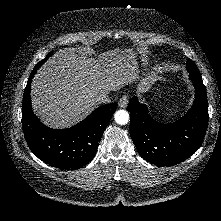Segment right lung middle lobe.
Returning <instances> with one entry per match:
<instances>
[{
    "label": "right lung middle lobe",
    "instance_id": "1",
    "mask_svg": "<svg viewBox=\"0 0 221 221\" xmlns=\"http://www.w3.org/2000/svg\"><path fill=\"white\" fill-rule=\"evenodd\" d=\"M51 55V53H49L45 59L41 60L34 68V70L36 69H39V67L48 59V57Z\"/></svg>",
    "mask_w": 221,
    "mask_h": 221
}]
</instances>
